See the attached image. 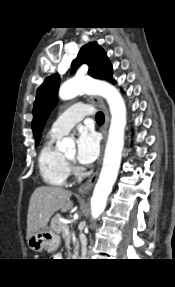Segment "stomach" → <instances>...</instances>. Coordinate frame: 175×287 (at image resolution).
Wrapping results in <instances>:
<instances>
[{
    "label": "stomach",
    "mask_w": 175,
    "mask_h": 287,
    "mask_svg": "<svg viewBox=\"0 0 175 287\" xmlns=\"http://www.w3.org/2000/svg\"><path fill=\"white\" fill-rule=\"evenodd\" d=\"M27 244L35 252L42 250L54 252L60 245V237L52 229L45 227L30 236L27 239Z\"/></svg>",
    "instance_id": "stomach-1"
}]
</instances>
